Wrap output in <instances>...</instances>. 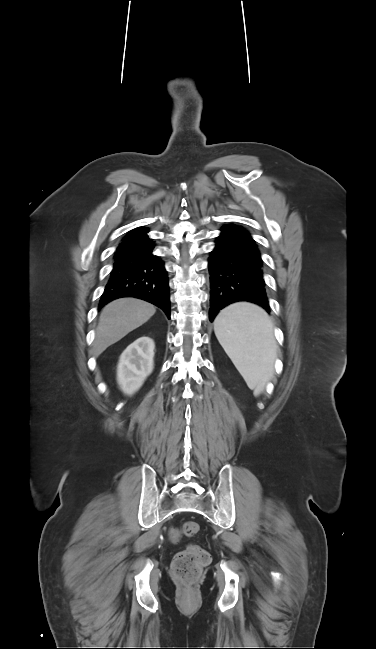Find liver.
Returning <instances> with one entry per match:
<instances>
[{
    "label": "liver",
    "instance_id": "obj_1",
    "mask_svg": "<svg viewBox=\"0 0 376 649\" xmlns=\"http://www.w3.org/2000/svg\"><path fill=\"white\" fill-rule=\"evenodd\" d=\"M155 312L154 305L132 297L120 298L106 305L96 330L94 355L99 356L109 346L148 321Z\"/></svg>",
    "mask_w": 376,
    "mask_h": 649
}]
</instances>
